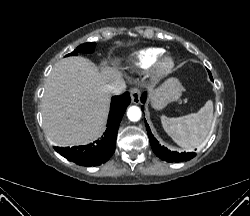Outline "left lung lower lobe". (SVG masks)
I'll return each mask as SVG.
<instances>
[{
  "label": "left lung lower lobe",
  "instance_id": "1",
  "mask_svg": "<svg viewBox=\"0 0 250 216\" xmlns=\"http://www.w3.org/2000/svg\"><path fill=\"white\" fill-rule=\"evenodd\" d=\"M210 79L213 81V78L211 76V73L209 72ZM147 93L144 92L141 96L142 103H145ZM144 110V106H142V111ZM146 124V129L148 132V137L150 140V144L152 147L153 152L158 156L160 159L165 160L167 162H181V161H187L192 159L196 154L194 152L191 153H178V152H171L164 146H161L159 142L155 139L153 134L150 131V128L148 124Z\"/></svg>",
  "mask_w": 250,
  "mask_h": 216
}]
</instances>
